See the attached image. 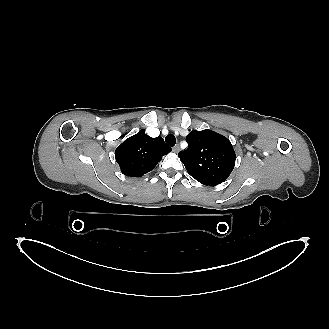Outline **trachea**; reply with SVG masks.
<instances>
[{"label":"trachea","instance_id":"obj_1","mask_svg":"<svg viewBox=\"0 0 329 329\" xmlns=\"http://www.w3.org/2000/svg\"><path fill=\"white\" fill-rule=\"evenodd\" d=\"M165 141L169 146H174L176 144V138L173 135H167Z\"/></svg>","mask_w":329,"mask_h":329}]
</instances>
